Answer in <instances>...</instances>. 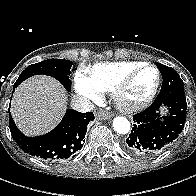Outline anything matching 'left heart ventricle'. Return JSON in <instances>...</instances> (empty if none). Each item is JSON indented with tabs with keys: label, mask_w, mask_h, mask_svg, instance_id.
<instances>
[{
	"label": "left heart ventricle",
	"mask_w": 196,
	"mask_h": 196,
	"mask_svg": "<svg viewBox=\"0 0 196 196\" xmlns=\"http://www.w3.org/2000/svg\"><path fill=\"white\" fill-rule=\"evenodd\" d=\"M156 79L157 74L153 69L142 70L126 90L124 99L128 102H138L144 99L151 92Z\"/></svg>",
	"instance_id": "1"
}]
</instances>
